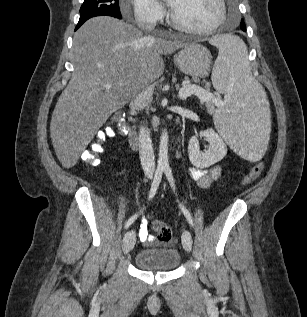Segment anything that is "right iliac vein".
I'll list each match as a JSON object with an SVG mask.
<instances>
[{
  "instance_id": "1",
  "label": "right iliac vein",
  "mask_w": 307,
  "mask_h": 317,
  "mask_svg": "<svg viewBox=\"0 0 307 317\" xmlns=\"http://www.w3.org/2000/svg\"><path fill=\"white\" fill-rule=\"evenodd\" d=\"M135 241H136L135 232L133 230L127 231L123 237V244H122V249L125 254H127L133 249Z\"/></svg>"
}]
</instances>
